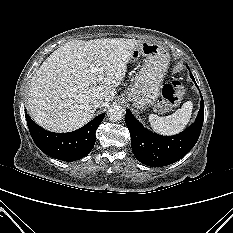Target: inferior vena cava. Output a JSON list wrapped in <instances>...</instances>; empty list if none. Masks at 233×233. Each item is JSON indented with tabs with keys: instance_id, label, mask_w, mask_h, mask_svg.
Returning <instances> with one entry per match:
<instances>
[{
	"instance_id": "602c4592",
	"label": "inferior vena cava",
	"mask_w": 233,
	"mask_h": 233,
	"mask_svg": "<svg viewBox=\"0 0 233 233\" xmlns=\"http://www.w3.org/2000/svg\"><path fill=\"white\" fill-rule=\"evenodd\" d=\"M104 99L101 97H97L94 101H93V106L95 108H100L102 106H104Z\"/></svg>"
}]
</instances>
